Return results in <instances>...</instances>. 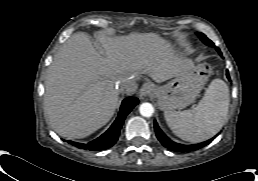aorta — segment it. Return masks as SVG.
<instances>
[{"mask_svg":"<svg viewBox=\"0 0 258 181\" xmlns=\"http://www.w3.org/2000/svg\"><path fill=\"white\" fill-rule=\"evenodd\" d=\"M140 114L144 117H151L154 113V108L152 104L145 102L139 107Z\"/></svg>","mask_w":258,"mask_h":181,"instance_id":"aorta-1","label":"aorta"}]
</instances>
